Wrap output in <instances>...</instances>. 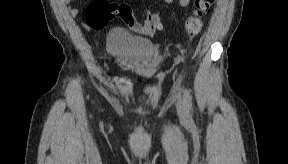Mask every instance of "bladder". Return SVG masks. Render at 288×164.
I'll list each match as a JSON object with an SVG mask.
<instances>
[{
	"mask_svg": "<svg viewBox=\"0 0 288 164\" xmlns=\"http://www.w3.org/2000/svg\"><path fill=\"white\" fill-rule=\"evenodd\" d=\"M108 47L121 63L135 69L148 67L156 54V47L151 41L143 38H130L121 34H112Z\"/></svg>",
	"mask_w": 288,
	"mask_h": 164,
	"instance_id": "31cf9c89",
	"label": "bladder"
}]
</instances>
